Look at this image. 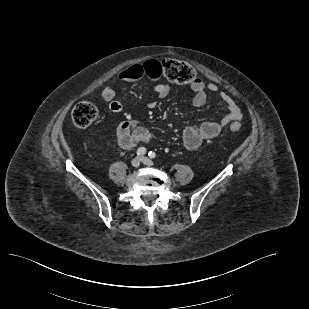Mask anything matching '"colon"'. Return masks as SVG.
Masks as SVG:
<instances>
[{
  "instance_id": "1",
  "label": "colon",
  "mask_w": 309,
  "mask_h": 309,
  "mask_svg": "<svg viewBox=\"0 0 309 309\" xmlns=\"http://www.w3.org/2000/svg\"><path fill=\"white\" fill-rule=\"evenodd\" d=\"M149 65L159 69L160 75L177 84L192 85L199 80L196 70L188 63L176 59H165L160 62L150 61ZM97 117V109L90 102H80L74 106L71 118L73 123L80 128L91 125ZM230 130L237 132L241 129L239 122H233Z\"/></svg>"
}]
</instances>
